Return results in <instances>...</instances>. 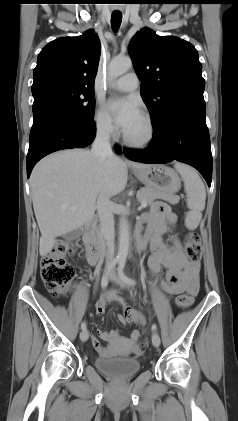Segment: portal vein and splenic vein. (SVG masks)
<instances>
[{
    "mask_svg": "<svg viewBox=\"0 0 238 421\" xmlns=\"http://www.w3.org/2000/svg\"><path fill=\"white\" fill-rule=\"evenodd\" d=\"M146 206H147L146 202H142L139 209L141 210L142 208H145ZM73 209H75V207H73Z\"/></svg>",
    "mask_w": 238,
    "mask_h": 421,
    "instance_id": "18ae733b",
    "label": "portal vein and splenic vein"
}]
</instances>
